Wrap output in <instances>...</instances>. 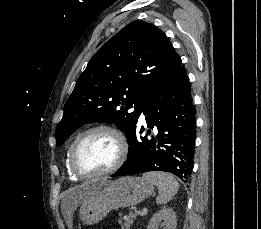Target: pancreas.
Wrapping results in <instances>:
<instances>
[{
	"label": "pancreas",
	"instance_id": "cf45deb5",
	"mask_svg": "<svg viewBox=\"0 0 261 229\" xmlns=\"http://www.w3.org/2000/svg\"><path fill=\"white\" fill-rule=\"evenodd\" d=\"M136 217L137 215H135V213H129L128 219H119V225H121V229H130Z\"/></svg>",
	"mask_w": 261,
	"mask_h": 229
}]
</instances>
